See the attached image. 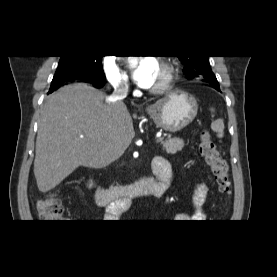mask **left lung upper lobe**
Instances as JSON below:
<instances>
[{
    "label": "left lung upper lobe",
    "mask_w": 277,
    "mask_h": 277,
    "mask_svg": "<svg viewBox=\"0 0 277 277\" xmlns=\"http://www.w3.org/2000/svg\"><path fill=\"white\" fill-rule=\"evenodd\" d=\"M184 64V74L190 78H202L203 80H214L217 78L208 60V56H177Z\"/></svg>",
    "instance_id": "left-lung-upper-lobe-1"
}]
</instances>
